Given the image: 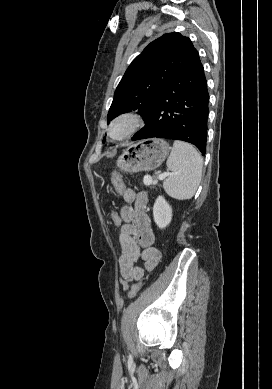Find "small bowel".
Instances as JSON below:
<instances>
[{
  "label": "small bowel",
  "mask_w": 272,
  "mask_h": 389,
  "mask_svg": "<svg viewBox=\"0 0 272 389\" xmlns=\"http://www.w3.org/2000/svg\"><path fill=\"white\" fill-rule=\"evenodd\" d=\"M122 195L125 204L119 211L122 220L119 235L122 250L119 268L121 282L127 290L129 282L144 276V268L138 263L144 261L145 269L151 271L158 264L161 253L153 246L155 235L147 214L146 194L136 193L128 188L123 190Z\"/></svg>",
  "instance_id": "1"
}]
</instances>
